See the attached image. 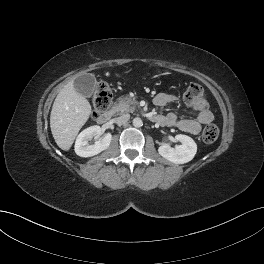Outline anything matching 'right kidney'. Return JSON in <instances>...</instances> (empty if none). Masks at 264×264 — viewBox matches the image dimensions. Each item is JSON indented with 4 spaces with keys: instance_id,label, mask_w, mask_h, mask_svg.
<instances>
[{
    "instance_id": "right-kidney-1",
    "label": "right kidney",
    "mask_w": 264,
    "mask_h": 264,
    "mask_svg": "<svg viewBox=\"0 0 264 264\" xmlns=\"http://www.w3.org/2000/svg\"><path fill=\"white\" fill-rule=\"evenodd\" d=\"M101 133L100 126H91L83 130L77 137L75 142V152L81 157H91L106 150L112 140L111 133H106L101 140L96 141L94 144H89V140L93 136H98Z\"/></svg>"
}]
</instances>
